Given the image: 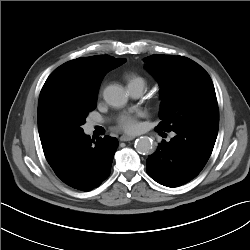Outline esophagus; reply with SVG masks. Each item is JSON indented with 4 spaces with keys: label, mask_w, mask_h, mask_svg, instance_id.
Wrapping results in <instances>:
<instances>
[{
    "label": "esophagus",
    "mask_w": 250,
    "mask_h": 250,
    "mask_svg": "<svg viewBox=\"0 0 250 250\" xmlns=\"http://www.w3.org/2000/svg\"><path fill=\"white\" fill-rule=\"evenodd\" d=\"M134 139H135L134 136H129V135H122V136L120 137V140H121V141H124V142H126V141H131V140H134Z\"/></svg>",
    "instance_id": "esophagus-1"
}]
</instances>
